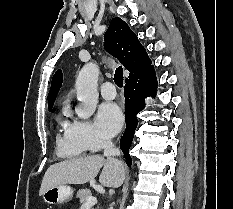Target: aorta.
Segmentation results:
<instances>
[{
    "instance_id": "obj_1",
    "label": "aorta",
    "mask_w": 233,
    "mask_h": 209,
    "mask_svg": "<svg viewBox=\"0 0 233 209\" xmlns=\"http://www.w3.org/2000/svg\"><path fill=\"white\" fill-rule=\"evenodd\" d=\"M99 68L95 63H88L82 67L76 79V91L79 106L76 114L81 119L90 118L98 103L97 82Z\"/></svg>"
}]
</instances>
